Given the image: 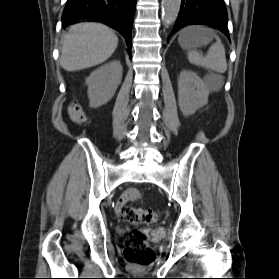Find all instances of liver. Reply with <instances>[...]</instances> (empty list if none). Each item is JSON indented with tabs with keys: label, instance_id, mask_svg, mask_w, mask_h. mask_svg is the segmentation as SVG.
<instances>
[{
	"label": "liver",
	"instance_id": "obj_1",
	"mask_svg": "<svg viewBox=\"0 0 279 279\" xmlns=\"http://www.w3.org/2000/svg\"><path fill=\"white\" fill-rule=\"evenodd\" d=\"M118 37L99 23H79L69 28L62 40L60 65L72 72L106 61L116 50Z\"/></svg>",
	"mask_w": 279,
	"mask_h": 279
}]
</instances>
